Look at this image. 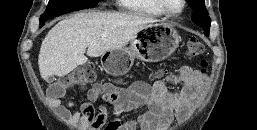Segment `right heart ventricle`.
Segmentation results:
<instances>
[{
    "label": "right heart ventricle",
    "mask_w": 257,
    "mask_h": 130,
    "mask_svg": "<svg viewBox=\"0 0 257 130\" xmlns=\"http://www.w3.org/2000/svg\"><path fill=\"white\" fill-rule=\"evenodd\" d=\"M118 2L124 10L132 14L155 17L165 14L155 0H118Z\"/></svg>",
    "instance_id": "e07e8e85"
}]
</instances>
